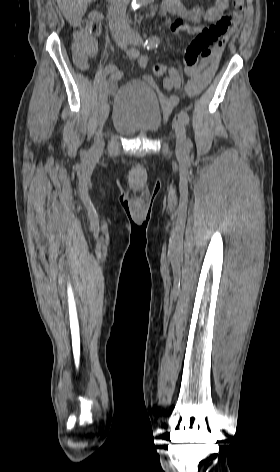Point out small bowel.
Instances as JSON below:
<instances>
[{"label": "small bowel", "instance_id": "1", "mask_svg": "<svg viewBox=\"0 0 280 472\" xmlns=\"http://www.w3.org/2000/svg\"><path fill=\"white\" fill-rule=\"evenodd\" d=\"M228 6L229 0H215L214 4L204 13L203 18L205 22L212 23L219 20L224 15ZM163 9L166 13H170L177 17L170 25L172 32L177 35L184 36L185 34H196L202 31L201 26L193 25L189 22L190 11L181 3L180 0H163ZM235 32L236 29L233 28L228 34H226L222 39V44L217 46L209 57L203 58L195 66H185V73L189 78L183 89L185 95L194 97L200 94L209 85L218 69L222 50L231 35ZM72 50L74 58L81 57L85 61V65L81 68H86L88 60L97 54L98 46L96 40L92 36L77 31L73 36ZM136 62L140 69H144L147 66L148 59L144 55H139L136 58ZM121 77L122 75L119 71H116L111 76L107 86V91L109 93H113L116 90L118 81ZM143 79L149 82L158 91L160 104L163 108L164 114L166 116L170 115L174 107L178 104V98L174 95H167L159 91L151 76L144 74ZM163 85L167 90L173 89L169 77L164 79Z\"/></svg>", "mask_w": 280, "mask_h": 472}]
</instances>
